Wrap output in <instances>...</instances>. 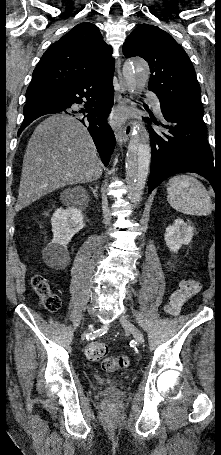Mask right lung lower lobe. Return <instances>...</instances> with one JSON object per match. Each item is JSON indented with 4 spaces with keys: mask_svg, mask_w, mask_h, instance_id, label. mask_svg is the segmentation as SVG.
Returning <instances> with one entry per match:
<instances>
[{
    "mask_svg": "<svg viewBox=\"0 0 221 455\" xmlns=\"http://www.w3.org/2000/svg\"><path fill=\"white\" fill-rule=\"evenodd\" d=\"M113 76L104 71L71 81L52 94L35 98L24 106V120L20 134L32 121L46 114L63 113L86 118L80 121L87 127L105 166L115 146V136L107 123L114 102ZM85 103V109L76 110L74 104Z\"/></svg>",
    "mask_w": 221,
    "mask_h": 455,
    "instance_id": "right-lung-lower-lobe-1",
    "label": "right lung lower lobe"
}]
</instances>
